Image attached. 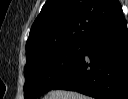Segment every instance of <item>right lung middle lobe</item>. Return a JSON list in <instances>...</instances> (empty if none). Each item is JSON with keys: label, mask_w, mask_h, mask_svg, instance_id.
Masks as SVG:
<instances>
[{"label": "right lung middle lobe", "mask_w": 128, "mask_h": 99, "mask_svg": "<svg viewBox=\"0 0 128 99\" xmlns=\"http://www.w3.org/2000/svg\"><path fill=\"white\" fill-rule=\"evenodd\" d=\"M83 49L84 43L77 42L27 58L25 99H35L58 84L77 65Z\"/></svg>", "instance_id": "obj_1"}]
</instances>
